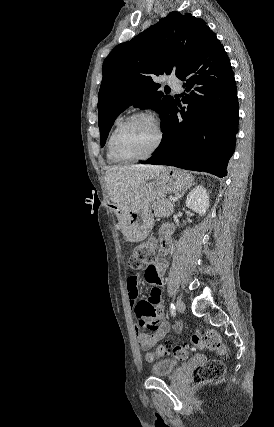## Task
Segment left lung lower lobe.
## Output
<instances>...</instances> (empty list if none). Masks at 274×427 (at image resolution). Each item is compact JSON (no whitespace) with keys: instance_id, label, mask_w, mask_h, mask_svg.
Here are the masks:
<instances>
[{"instance_id":"obj_1","label":"left lung lower lobe","mask_w":274,"mask_h":427,"mask_svg":"<svg viewBox=\"0 0 274 427\" xmlns=\"http://www.w3.org/2000/svg\"><path fill=\"white\" fill-rule=\"evenodd\" d=\"M184 107L175 100L165 114L164 138L143 164H162L227 175L238 132V99L229 58L215 37L179 77ZM180 113L181 115H177Z\"/></svg>"}]
</instances>
